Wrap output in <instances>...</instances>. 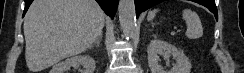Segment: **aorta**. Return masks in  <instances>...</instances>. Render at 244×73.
Here are the masks:
<instances>
[{
    "mask_svg": "<svg viewBox=\"0 0 244 73\" xmlns=\"http://www.w3.org/2000/svg\"><path fill=\"white\" fill-rule=\"evenodd\" d=\"M119 22L125 36H132L136 27L134 0H120L118 6Z\"/></svg>",
    "mask_w": 244,
    "mask_h": 73,
    "instance_id": "1",
    "label": "aorta"
}]
</instances>
